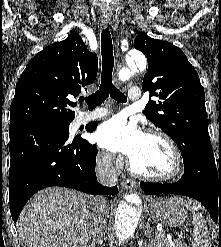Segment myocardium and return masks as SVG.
<instances>
[{
  "label": "myocardium",
  "mask_w": 221,
  "mask_h": 247,
  "mask_svg": "<svg viewBox=\"0 0 221 247\" xmlns=\"http://www.w3.org/2000/svg\"><path fill=\"white\" fill-rule=\"evenodd\" d=\"M146 135L157 137L168 145L173 154L174 168L171 173L166 175H150L137 171L129 159L128 167L130 172L138 178L153 182H170L179 179L184 174L185 170V162L179 146L166 132L160 129H149L146 131Z\"/></svg>",
  "instance_id": "f54148a6"
}]
</instances>
